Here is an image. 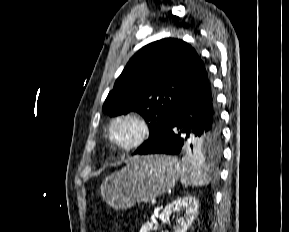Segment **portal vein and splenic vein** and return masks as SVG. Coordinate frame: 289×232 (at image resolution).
<instances>
[{
  "mask_svg": "<svg viewBox=\"0 0 289 232\" xmlns=\"http://www.w3.org/2000/svg\"><path fill=\"white\" fill-rule=\"evenodd\" d=\"M156 203H157L156 199L151 200L152 205H156Z\"/></svg>",
  "mask_w": 289,
  "mask_h": 232,
  "instance_id": "obj_1",
  "label": "portal vein and splenic vein"
}]
</instances>
